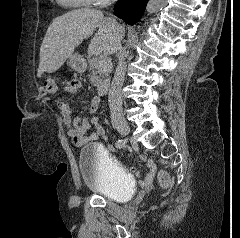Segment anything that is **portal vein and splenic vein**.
I'll list each match as a JSON object with an SVG mask.
<instances>
[{
	"instance_id": "obj_1",
	"label": "portal vein and splenic vein",
	"mask_w": 240,
	"mask_h": 238,
	"mask_svg": "<svg viewBox=\"0 0 240 238\" xmlns=\"http://www.w3.org/2000/svg\"><path fill=\"white\" fill-rule=\"evenodd\" d=\"M90 53H93V54H96L98 55L96 52L94 51H91ZM100 65L103 67V68H106V67H109L111 65V62L110 61H107L105 59H101L100 60Z\"/></svg>"
}]
</instances>
